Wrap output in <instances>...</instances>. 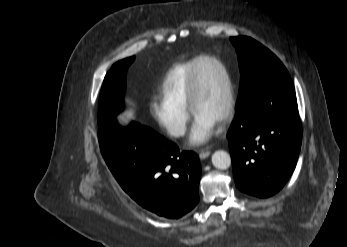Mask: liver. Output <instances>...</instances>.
Returning <instances> with one entry per match:
<instances>
[{"label":"liver","mask_w":347,"mask_h":247,"mask_svg":"<svg viewBox=\"0 0 347 247\" xmlns=\"http://www.w3.org/2000/svg\"><path fill=\"white\" fill-rule=\"evenodd\" d=\"M118 121H125V116L123 115L118 116Z\"/></svg>","instance_id":"obj_1"}]
</instances>
